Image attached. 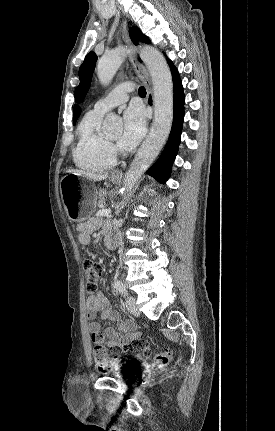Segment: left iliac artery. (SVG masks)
<instances>
[{
	"mask_svg": "<svg viewBox=\"0 0 275 431\" xmlns=\"http://www.w3.org/2000/svg\"><path fill=\"white\" fill-rule=\"evenodd\" d=\"M114 288H116V290L121 294L126 296L127 295V290L125 288V286L123 285V283L120 280H117L114 282Z\"/></svg>",
	"mask_w": 275,
	"mask_h": 431,
	"instance_id": "obj_1",
	"label": "left iliac artery"
}]
</instances>
